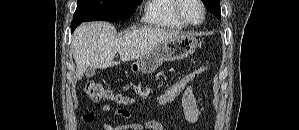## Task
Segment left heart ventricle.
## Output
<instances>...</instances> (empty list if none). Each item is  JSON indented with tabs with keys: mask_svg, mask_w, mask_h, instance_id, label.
<instances>
[{
	"mask_svg": "<svg viewBox=\"0 0 299 130\" xmlns=\"http://www.w3.org/2000/svg\"><path fill=\"white\" fill-rule=\"evenodd\" d=\"M182 13L185 18L192 23L199 22L202 16L201 8L196 0H184Z\"/></svg>",
	"mask_w": 299,
	"mask_h": 130,
	"instance_id": "1",
	"label": "left heart ventricle"
}]
</instances>
